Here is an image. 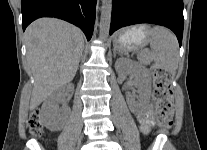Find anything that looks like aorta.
<instances>
[{
    "mask_svg": "<svg viewBox=\"0 0 207 150\" xmlns=\"http://www.w3.org/2000/svg\"><path fill=\"white\" fill-rule=\"evenodd\" d=\"M112 0H102V10L100 16V36L107 39L110 29Z\"/></svg>",
    "mask_w": 207,
    "mask_h": 150,
    "instance_id": "aorta-1",
    "label": "aorta"
}]
</instances>
